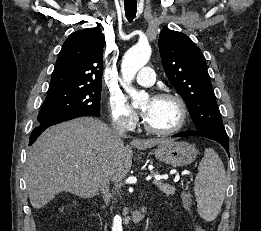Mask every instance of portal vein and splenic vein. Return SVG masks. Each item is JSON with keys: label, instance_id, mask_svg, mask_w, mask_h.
<instances>
[{"label": "portal vein and splenic vein", "instance_id": "18ae733b", "mask_svg": "<svg viewBox=\"0 0 261 231\" xmlns=\"http://www.w3.org/2000/svg\"><path fill=\"white\" fill-rule=\"evenodd\" d=\"M147 179H151V176H149ZM161 177H156L154 180V184H157L158 181H160Z\"/></svg>", "mask_w": 261, "mask_h": 231}]
</instances>
